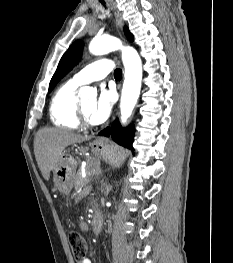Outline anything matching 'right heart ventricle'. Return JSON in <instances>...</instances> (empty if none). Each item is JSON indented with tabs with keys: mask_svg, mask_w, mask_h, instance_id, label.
<instances>
[{
	"mask_svg": "<svg viewBox=\"0 0 233 263\" xmlns=\"http://www.w3.org/2000/svg\"><path fill=\"white\" fill-rule=\"evenodd\" d=\"M78 87L79 84L71 79L62 84L53 95L49 112L54 125L71 129L81 127L78 116Z\"/></svg>",
	"mask_w": 233,
	"mask_h": 263,
	"instance_id": "e07e8e85",
	"label": "right heart ventricle"
}]
</instances>
